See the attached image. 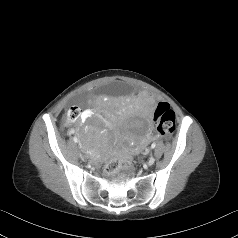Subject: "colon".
I'll use <instances>...</instances> for the list:
<instances>
[{
    "mask_svg": "<svg viewBox=\"0 0 238 238\" xmlns=\"http://www.w3.org/2000/svg\"><path fill=\"white\" fill-rule=\"evenodd\" d=\"M81 116V110L78 107H72L68 111V120L70 122L76 121ZM175 113L167 103L161 102L156 106L154 111V121L157 126L158 134L161 137L171 135L175 131ZM131 161L128 158L124 159H112L105 165L104 175L110 178L113 172L123 167H129Z\"/></svg>",
    "mask_w": 238,
    "mask_h": 238,
    "instance_id": "obj_1",
    "label": "colon"
}]
</instances>
